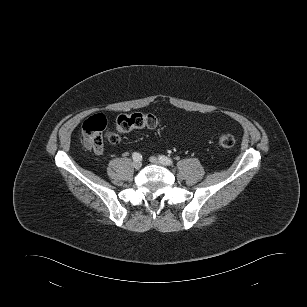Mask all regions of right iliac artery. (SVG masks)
Listing matches in <instances>:
<instances>
[{"label": "right iliac artery", "instance_id": "obj_1", "mask_svg": "<svg viewBox=\"0 0 307 307\" xmlns=\"http://www.w3.org/2000/svg\"><path fill=\"white\" fill-rule=\"evenodd\" d=\"M132 157H133L134 161H140L142 159V156L139 153H137V152H134L132 154Z\"/></svg>", "mask_w": 307, "mask_h": 307}]
</instances>
